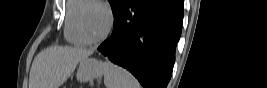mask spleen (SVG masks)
Listing matches in <instances>:
<instances>
[{
    "mask_svg": "<svg viewBox=\"0 0 267 88\" xmlns=\"http://www.w3.org/2000/svg\"><path fill=\"white\" fill-rule=\"evenodd\" d=\"M103 73L106 88H141L129 71L109 61L103 63Z\"/></svg>",
    "mask_w": 267,
    "mask_h": 88,
    "instance_id": "spleen-1",
    "label": "spleen"
}]
</instances>
